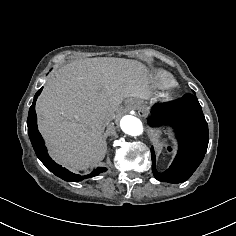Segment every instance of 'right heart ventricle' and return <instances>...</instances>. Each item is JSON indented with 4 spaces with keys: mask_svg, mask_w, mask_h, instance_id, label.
Wrapping results in <instances>:
<instances>
[{
    "mask_svg": "<svg viewBox=\"0 0 236 236\" xmlns=\"http://www.w3.org/2000/svg\"><path fill=\"white\" fill-rule=\"evenodd\" d=\"M176 84L175 79L168 73H157L155 76V87L160 91L168 90Z\"/></svg>",
    "mask_w": 236,
    "mask_h": 236,
    "instance_id": "e07e8e85",
    "label": "right heart ventricle"
}]
</instances>
